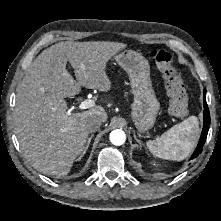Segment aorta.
Here are the masks:
<instances>
[{
    "instance_id": "762f6f07",
    "label": "aorta",
    "mask_w": 221,
    "mask_h": 221,
    "mask_svg": "<svg viewBox=\"0 0 221 221\" xmlns=\"http://www.w3.org/2000/svg\"><path fill=\"white\" fill-rule=\"evenodd\" d=\"M109 139L113 145L120 146L125 143L126 134L121 129H115L110 133Z\"/></svg>"
}]
</instances>
